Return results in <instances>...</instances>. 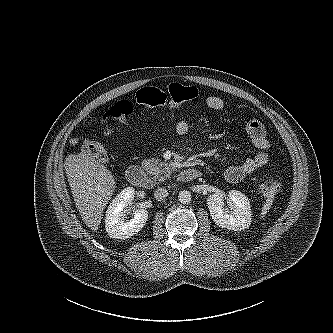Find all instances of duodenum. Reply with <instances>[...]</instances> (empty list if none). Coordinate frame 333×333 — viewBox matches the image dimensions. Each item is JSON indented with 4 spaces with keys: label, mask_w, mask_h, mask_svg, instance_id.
<instances>
[{
    "label": "duodenum",
    "mask_w": 333,
    "mask_h": 333,
    "mask_svg": "<svg viewBox=\"0 0 333 333\" xmlns=\"http://www.w3.org/2000/svg\"><path fill=\"white\" fill-rule=\"evenodd\" d=\"M201 175L200 171L196 168H186L179 173V179L183 182H190L196 180ZM127 180L134 186L152 187L154 181L147 175V173L138 165H132L126 170Z\"/></svg>",
    "instance_id": "obj_1"
}]
</instances>
